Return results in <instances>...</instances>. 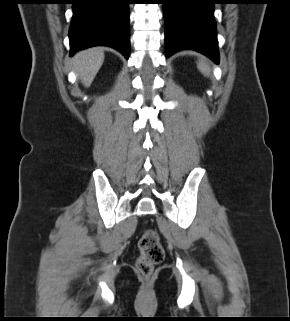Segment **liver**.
I'll use <instances>...</instances> for the list:
<instances>
[{
	"label": "liver",
	"instance_id": "liver-1",
	"mask_svg": "<svg viewBox=\"0 0 290 321\" xmlns=\"http://www.w3.org/2000/svg\"><path fill=\"white\" fill-rule=\"evenodd\" d=\"M103 61L104 52L99 47L82 50L74 56V69L85 87L91 85Z\"/></svg>",
	"mask_w": 290,
	"mask_h": 321
}]
</instances>
